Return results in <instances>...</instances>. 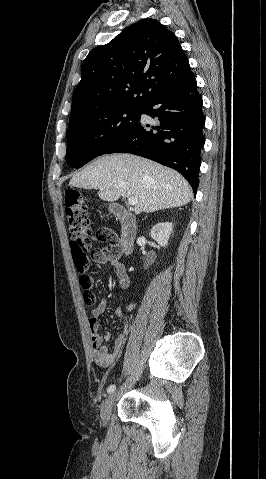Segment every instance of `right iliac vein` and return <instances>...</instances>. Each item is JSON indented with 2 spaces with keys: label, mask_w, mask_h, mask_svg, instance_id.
<instances>
[{
  "label": "right iliac vein",
  "mask_w": 266,
  "mask_h": 479,
  "mask_svg": "<svg viewBox=\"0 0 266 479\" xmlns=\"http://www.w3.org/2000/svg\"><path fill=\"white\" fill-rule=\"evenodd\" d=\"M116 399V393H111L105 400L101 408V419L103 424L109 421L111 410Z\"/></svg>",
  "instance_id": "right-iliac-vein-1"
}]
</instances>
